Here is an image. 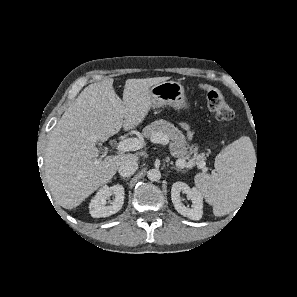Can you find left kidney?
Wrapping results in <instances>:
<instances>
[{"mask_svg": "<svg viewBox=\"0 0 297 297\" xmlns=\"http://www.w3.org/2000/svg\"><path fill=\"white\" fill-rule=\"evenodd\" d=\"M185 193L192 201V207H186L180 198V193ZM171 200L178 213L192 220H200L203 215V197L197 188H190L183 182H176L172 185Z\"/></svg>", "mask_w": 297, "mask_h": 297, "instance_id": "left-kidney-1", "label": "left kidney"}]
</instances>
